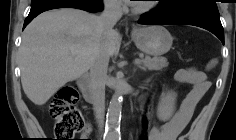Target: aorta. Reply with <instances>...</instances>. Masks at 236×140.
I'll return each instance as SVG.
<instances>
[{"instance_id":"762f6f07","label":"aorta","mask_w":236,"mask_h":140,"mask_svg":"<svg viewBox=\"0 0 236 140\" xmlns=\"http://www.w3.org/2000/svg\"><path fill=\"white\" fill-rule=\"evenodd\" d=\"M123 102V92L117 90L109 103L106 117V140H119L120 138V120Z\"/></svg>"}]
</instances>
